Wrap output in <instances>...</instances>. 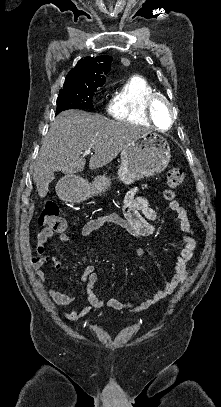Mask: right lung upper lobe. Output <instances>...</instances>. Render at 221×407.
I'll return each instance as SVG.
<instances>
[{
	"label": "right lung upper lobe",
	"mask_w": 221,
	"mask_h": 407,
	"mask_svg": "<svg viewBox=\"0 0 221 407\" xmlns=\"http://www.w3.org/2000/svg\"><path fill=\"white\" fill-rule=\"evenodd\" d=\"M112 57L103 55L85 57L69 71L63 89H97L105 83V76L111 68Z\"/></svg>",
	"instance_id": "1"
}]
</instances>
